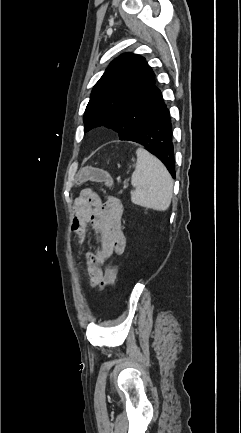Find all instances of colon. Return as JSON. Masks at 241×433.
Returning a JSON list of instances; mask_svg holds the SVG:
<instances>
[{
	"instance_id": "obj_1",
	"label": "colon",
	"mask_w": 241,
	"mask_h": 433,
	"mask_svg": "<svg viewBox=\"0 0 241 433\" xmlns=\"http://www.w3.org/2000/svg\"><path fill=\"white\" fill-rule=\"evenodd\" d=\"M89 177H92L99 181H109L110 177L107 171L103 169L94 168H80L79 172L75 175V178L82 183L89 182ZM117 275V268L115 265H109L104 274L93 275L90 279V283L93 286H99L100 289L106 292H110L113 289Z\"/></svg>"
}]
</instances>
